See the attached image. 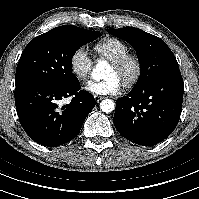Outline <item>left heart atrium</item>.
<instances>
[{
    "label": "left heart atrium",
    "instance_id": "1",
    "mask_svg": "<svg viewBox=\"0 0 199 199\" xmlns=\"http://www.w3.org/2000/svg\"><path fill=\"white\" fill-rule=\"evenodd\" d=\"M84 88L96 95H114L121 91L122 81L116 76H111L101 81H89Z\"/></svg>",
    "mask_w": 199,
    "mask_h": 199
}]
</instances>
